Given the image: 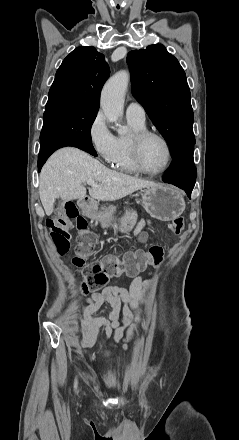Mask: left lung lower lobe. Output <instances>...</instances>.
Listing matches in <instances>:
<instances>
[{"instance_id": "obj_1", "label": "left lung lower lobe", "mask_w": 239, "mask_h": 440, "mask_svg": "<svg viewBox=\"0 0 239 440\" xmlns=\"http://www.w3.org/2000/svg\"><path fill=\"white\" fill-rule=\"evenodd\" d=\"M194 145L187 146L173 155L169 171L163 177L166 183L185 190L190 198L196 180V167L193 161Z\"/></svg>"}]
</instances>
